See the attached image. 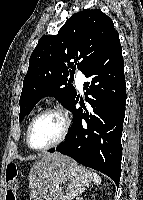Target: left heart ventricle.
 Instances as JSON below:
<instances>
[{
  "instance_id": "obj_1",
  "label": "left heart ventricle",
  "mask_w": 143,
  "mask_h": 200,
  "mask_svg": "<svg viewBox=\"0 0 143 200\" xmlns=\"http://www.w3.org/2000/svg\"><path fill=\"white\" fill-rule=\"evenodd\" d=\"M64 127L60 115L50 113L39 118L32 126L30 142L35 148L44 147L54 142L62 133Z\"/></svg>"
}]
</instances>
